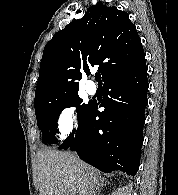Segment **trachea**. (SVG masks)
Listing matches in <instances>:
<instances>
[{
  "mask_svg": "<svg viewBox=\"0 0 178 195\" xmlns=\"http://www.w3.org/2000/svg\"><path fill=\"white\" fill-rule=\"evenodd\" d=\"M95 79H96V81L101 82V75L95 74Z\"/></svg>",
  "mask_w": 178,
  "mask_h": 195,
  "instance_id": "1",
  "label": "trachea"
}]
</instances>
